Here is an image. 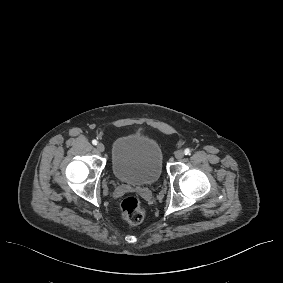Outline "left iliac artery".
Wrapping results in <instances>:
<instances>
[{"label": "left iliac artery", "mask_w": 283, "mask_h": 283, "mask_svg": "<svg viewBox=\"0 0 283 283\" xmlns=\"http://www.w3.org/2000/svg\"><path fill=\"white\" fill-rule=\"evenodd\" d=\"M190 149L189 148H186L185 150H184V153H185V155H190Z\"/></svg>", "instance_id": "1"}]
</instances>
